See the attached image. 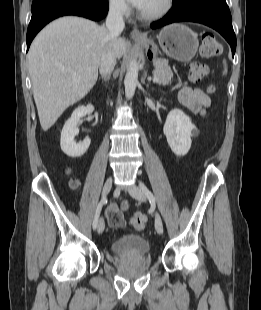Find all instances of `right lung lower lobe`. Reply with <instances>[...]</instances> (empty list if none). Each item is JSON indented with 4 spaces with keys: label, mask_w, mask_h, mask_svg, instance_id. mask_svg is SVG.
I'll list each match as a JSON object with an SVG mask.
<instances>
[{
    "label": "right lung lower lobe",
    "mask_w": 261,
    "mask_h": 310,
    "mask_svg": "<svg viewBox=\"0 0 261 310\" xmlns=\"http://www.w3.org/2000/svg\"><path fill=\"white\" fill-rule=\"evenodd\" d=\"M27 30V49L35 35L50 21L64 15L101 20L107 15L108 0H33Z\"/></svg>",
    "instance_id": "right-lung-lower-lobe-1"
}]
</instances>
